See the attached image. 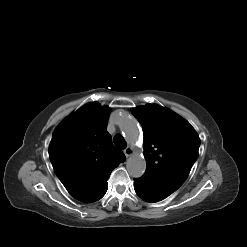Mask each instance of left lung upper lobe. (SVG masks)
Instances as JSON below:
<instances>
[{
	"label": "left lung upper lobe",
	"mask_w": 247,
	"mask_h": 247,
	"mask_svg": "<svg viewBox=\"0 0 247 247\" xmlns=\"http://www.w3.org/2000/svg\"><path fill=\"white\" fill-rule=\"evenodd\" d=\"M131 112L143 127L147 167L142 178L170 195L183 184L198 158L199 136L188 121L157 104Z\"/></svg>",
	"instance_id": "5c2ea615"
}]
</instances>
